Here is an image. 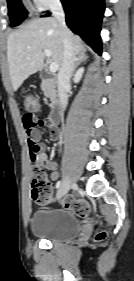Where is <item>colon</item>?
I'll use <instances>...</instances> for the list:
<instances>
[{"mask_svg": "<svg viewBox=\"0 0 134 281\" xmlns=\"http://www.w3.org/2000/svg\"><path fill=\"white\" fill-rule=\"evenodd\" d=\"M25 108L32 112L39 108V103L36 97L28 95L25 98ZM30 191L32 200L39 205L47 204L52 198V188L47 180L44 170L40 167H35L31 174ZM62 205L74 211L77 215L85 217L89 214V205L82 199L67 197L62 201ZM104 233H99L96 236L97 240L104 238Z\"/></svg>", "mask_w": 134, "mask_h": 281, "instance_id": "1", "label": "colon"}]
</instances>
